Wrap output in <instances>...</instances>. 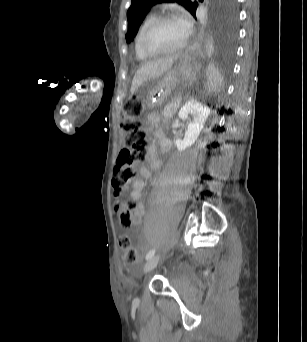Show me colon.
Here are the masks:
<instances>
[{
	"mask_svg": "<svg viewBox=\"0 0 307 342\" xmlns=\"http://www.w3.org/2000/svg\"><path fill=\"white\" fill-rule=\"evenodd\" d=\"M143 103L135 98L128 102L123 111L122 131L125 134L123 150L114 157L116 163L111 177V188L115 198L113 211L119 219L120 226L128 229L135 216V206L132 202H125L122 196L127 184L134 177L133 166L146 157L147 134L142 127L140 116ZM119 247L124 251V261L127 265L139 266L141 261L134 249L129 234L119 236Z\"/></svg>",
	"mask_w": 307,
	"mask_h": 342,
	"instance_id": "colon-1",
	"label": "colon"
}]
</instances>
